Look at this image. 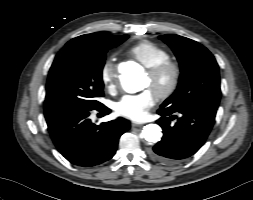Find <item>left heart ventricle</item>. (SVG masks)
Returning <instances> with one entry per match:
<instances>
[{"instance_id": "1", "label": "left heart ventricle", "mask_w": 253, "mask_h": 200, "mask_svg": "<svg viewBox=\"0 0 253 200\" xmlns=\"http://www.w3.org/2000/svg\"><path fill=\"white\" fill-rule=\"evenodd\" d=\"M167 82V78L164 77L159 81H154L148 74H146L144 81H143V88H150L154 90L155 88L163 87Z\"/></svg>"}]
</instances>
